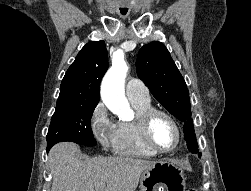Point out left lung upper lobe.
Instances as JSON below:
<instances>
[{
  "label": "left lung upper lobe",
  "mask_w": 251,
  "mask_h": 191,
  "mask_svg": "<svg viewBox=\"0 0 251 191\" xmlns=\"http://www.w3.org/2000/svg\"><path fill=\"white\" fill-rule=\"evenodd\" d=\"M136 71L157 101L183 121L184 138L190 152H198L191 118L189 92L184 78L164 44L153 41L144 45L137 56Z\"/></svg>",
  "instance_id": "obj_1"
}]
</instances>
